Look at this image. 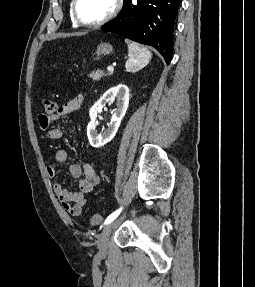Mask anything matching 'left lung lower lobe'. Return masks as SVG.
Masks as SVG:
<instances>
[{
    "label": "left lung lower lobe",
    "mask_w": 255,
    "mask_h": 287,
    "mask_svg": "<svg viewBox=\"0 0 255 287\" xmlns=\"http://www.w3.org/2000/svg\"><path fill=\"white\" fill-rule=\"evenodd\" d=\"M180 1L124 0L121 13L100 29L156 48L169 64Z\"/></svg>",
    "instance_id": "obj_1"
}]
</instances>
